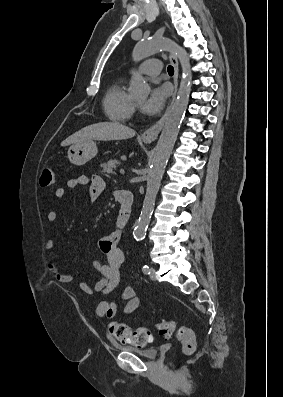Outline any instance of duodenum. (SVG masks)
Masks as SVG:
<instances>
[{"mask_svg": "<svg viewBox=\"0 0 283 397\" xmlns=\"http://www.w3.org/2000/svg\"><path fill=\"white\" fill-rule=\"evenodd\" d=\"M117 200L120 203L117 225L118 227L123 228L128 224L131 218L134 200L133 194L126 190L119 191Z\"/></svg>", "mask_w": 283, "mask_h": 397, "instance_id": "410a0bca", "label": "duodenum"}]
</instances>
